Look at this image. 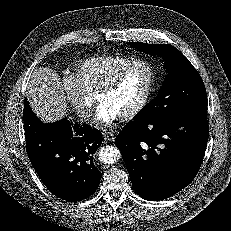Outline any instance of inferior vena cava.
Returning a JSON list of instances; mask_svg holds the SVG:
<instances>
[{
	"mask_svg": "<svg viewBox=\"0 0 231 231\" xmlns=\"http://www.w3.org/2000/svg\"><path fill=\"white\" fill-rule=\"evenodd\" d=\"M80 117H81L82 119L89 120L90 117H91L90 109H84V110L80 113Z\"/></svg>",
	"mask_w": 231,
	"mask_h": 231,
	"instance_id": "inferior-vena-cava-1",
	"label": "inferior vena cava"
}]
</instances>
